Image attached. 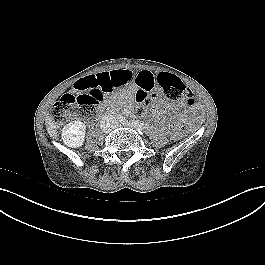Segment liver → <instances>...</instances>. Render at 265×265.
<instances>
[{
  "label": "liver",
  "instance_id": "6515ba94",
  "mask_svg": "<svg viewBox=\"0 0 265 265\" xmlns=\"http://www.w3.org/2000/svg\"><path fill=\"white\" fill-rule=\"evenodd\" d=\"M45 124L48 134L55 139L57 137V128L51 115L46 116Z\"/></svg>",
  "mask_w": 265,
  "mask_h": 265
}]
</instances>
